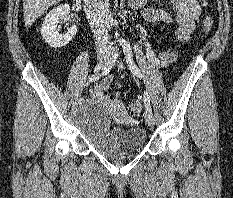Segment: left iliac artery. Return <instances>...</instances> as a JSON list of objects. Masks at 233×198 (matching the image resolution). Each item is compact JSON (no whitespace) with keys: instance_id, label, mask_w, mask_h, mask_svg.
<instances>
[{"instance_id":"left-iliac-artery-1","label":"left iliac artery","mask_w":233,"mask_h":198,"mask_svg":"<svg viewBox=\"0 0 233 198\" xmlns=\"http://www.w3.org/2000/svg\"><path fill=\"white\" fill-rule=\"evenodd\" d=\"M121 45H122V48H123V51L126 57V62L129 66V69L134 75H136L139 78H142L143 74L133 60V54H132V50H131V46L129 42L126 40H123L121 42ZM144 104H145L146 112L152 114L150 98L147 92L144 93Z\"/></svg>"}]
</instances>
